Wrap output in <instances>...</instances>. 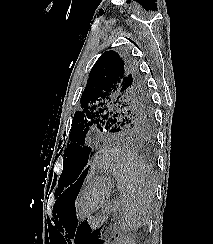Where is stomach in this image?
<instances>
[{"mask_svg": "<svg viewBox=\"0 0 213 244\" xmlns=\"http://www.w3.org/2000/svg\"><path fill=\"white\" fill-rule=\"evenodd\" d=\"M114 182L109 176H101L89 182L79 199L80 216H91L109 199Z\"/></svg>", "mask_w": 213, "mask_h": 244, "instance_id": "1", "label": "stomach"}]
</instances>
